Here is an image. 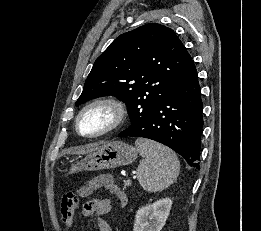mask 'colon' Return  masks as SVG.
<instances>
[{"instance_id":"obj_1","label":"colon","mask_w":261,"mask_h":231,"mask_svg":"<svg viewBox=\"0 0 261 231\" xmlns=\"http://www.w3.org/2000/svg\"><path fill=\"white\" fill-rule=\"evenodd\" d=\"M110 187H116L114 182L110 183ZM95 189L96 185L94 183L89 182L86 186L82 188V192L84 194H90ZM79 196V192H67L63 195L61 204V216L64 221H72L75 215L79 212Z\"/></svg>"}]
</instances>
